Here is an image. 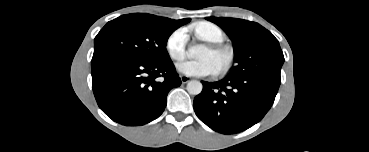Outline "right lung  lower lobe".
Wrapping results in <instances>:
<instances>
[{"label": "right lung lower lobe", "mask_w": 369, "mask_h": 152, "mask_svg": "<svg viewBox=\"0 0 369 152\" xmlns=\"http://www.w3.org/2000/svg\"><path fill=\"white\" fill-rule=\"evenodd\" d=\"M181 84L170 58L141 62L114 58L92 66V88L100 109L117 123L138 126L158 118L168 92Z\"/></svg>", "instance_id": "right-lung-lower-lobe-1"}]
</instances>
